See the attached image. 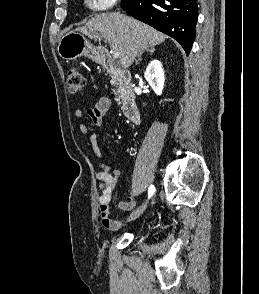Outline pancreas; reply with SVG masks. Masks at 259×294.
Here are the masks:
<instances>
[{
	"label": "pancreas",
	"mask_w": 259,
	"mask_h": 294,
	"mask_svg": "<svg viewBox=\"0 0 259 294\" xmlns=\"http://www.w3.org/2000/svg\"><path fill=\"white\" fill-rule=\"evenodd\" d=\"M115 92L117 91V89L116 90H114ZM117 100H118V97L116 98Z\"/></svg>",
	"instance_id": "cf45deb5"
}]
</instances>
